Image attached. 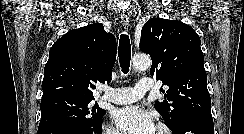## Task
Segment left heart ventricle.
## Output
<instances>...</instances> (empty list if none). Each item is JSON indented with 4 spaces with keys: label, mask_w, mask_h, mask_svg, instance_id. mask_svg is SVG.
<instances>
[{
    "label": "left heart ventricle",
    "mask_w": 244,
    "mask_h": 134,
    "mask_svg": "<svg viewBox=\"0 0 244 134\" xmlns=\"http://www.w3.org/2000/svg\"><path fill=\"white\" fill-rule=\"evenodd\" d=\"M154 134H163V133H161V132L156 128L155 131H154Z\"/></svg>",
    "instance_id": "b2bd125f"
}]
</instances>
